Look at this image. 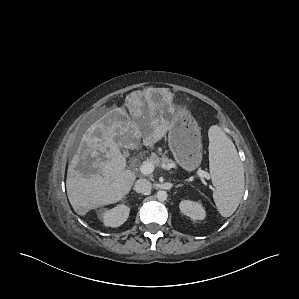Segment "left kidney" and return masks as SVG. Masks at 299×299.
Returning <instances> with one entry per match:
<instances>
[{
	"instance_id": "obj_1",
	"label": "left kidney",
	"mask_w": 299,
	"mask_h": 299,
	"mask_svg": "<svg viewBox=\"0 0 299 299\" xmlns=\"http://www.w3.org/2000/svg\"><path fill=\"white\" fill-rule=\"evenodd\" d=\"M179 208L184 215L192 220H203L206 217V211L200 202L183 200L180 202Z\"/></svg>"
}]
</instances>
